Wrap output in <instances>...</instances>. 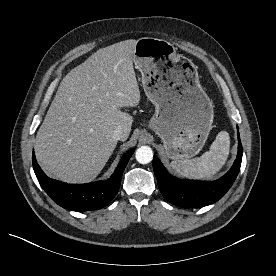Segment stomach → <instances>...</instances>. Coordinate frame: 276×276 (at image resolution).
Segmentation results:
<instances>
[{
  "label": "stomach",
  "mask_w": 276,
  "mask_h": 276,
  "mask_svg": "<svg viewBox=\"0 0 276 276\" xmlns=\"http://www.w3.org/2000/svg\"><path fill=\"white\" fill-rule=\"evenodd\" d=\"M133 62L155 106L149 127L161 138L167 157L185 160L198 154L212 129L214 110L197 66L170 42L152 37L137 40Z\"/></svg>",
  "instance_id": "1"
}]
</instances>
